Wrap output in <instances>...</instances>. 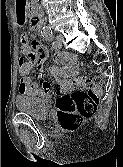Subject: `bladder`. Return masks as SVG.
Segmentation results:
<instances>
[{"mask_svg": "<svg viewBox=\"0 0 123 167\" xmlns=\"http://www.w3.org/2000/svg\"><path fill=\"white\" fill-rule=\"evenodd\" d=\"M17 109L34 120H45L51 109V102L45 96H18L16 98Z\"/></svg>", "mask_w": 123, "mask_h": 167, "instance_id": "obj_1", "label": "bladder"}]
</instances>
